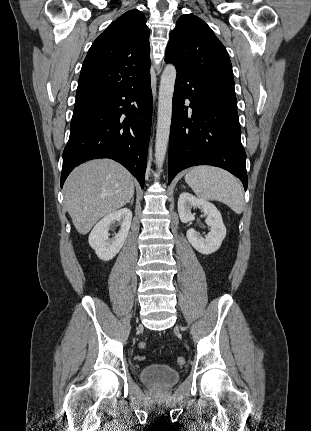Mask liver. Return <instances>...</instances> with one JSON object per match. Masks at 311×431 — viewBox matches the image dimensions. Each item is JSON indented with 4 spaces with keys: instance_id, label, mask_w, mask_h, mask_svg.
Segmentation results:
<instances>
[{
    "instance_id": "1",
    "label": "liver",
    "mask_w": 311,
    "mask_h": 431,
    "mask_svg": "<svg viewBox=\"0 0 311 431\" xmlns=\"http://www.w3.org/2000/svg\"><path fill=\"white\" fill-rule=\"evenodd\" d=\"M65 204L79 233L100 217L126 206L134 196L133 176L114 160H91L75 168L65 186Z\"/></svg>"
}]
</instances>
